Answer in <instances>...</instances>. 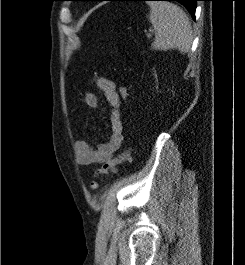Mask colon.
Listing matches in <instances>:
<instances>
[{
	"mask_svg": "<svg viewBox=\"0 0 245 265\" xmlns=\"http://www.w3.org/2000/svg\"><path fill=\"white\" fill-rule=\"evenodd\" d=\"M119 93L123 99H126L128 97V89L126 87H121L119 90ZM129 157V150H124L122 153H120L118 156L113 158L112 160H109L105 162L101 168H99L96 171L95 176H101L106 175L111 172H115L117 167L122 164L124 161H126ZM91 188L95 189L98 186V183L96 180H93L90 184Z\"/></svg>",
	"mask_w": 245,
	"mask_h": 265,
	"instance_id": "colon-1",
	"label": "colon"
}]
</instances>
